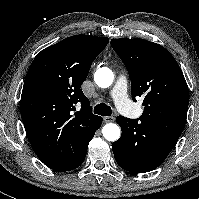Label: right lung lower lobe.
Here are the masks:
<instances>
[{
  "label": "right lung lower lobe",
  "mask_w": 199,
  "mask_h": 199,
  "mask_svg": "<svg viewBox=\"0 0 199 199\" xmlns=\"http://www.w3.org/2000/svg\"><path fill=\"white\" fill-rule=\"evenodd\" d=\"M101 124L102 118L100 117L88 130L79 132L69 141H66L64 144L65 150L60 157L52 158L47 155V144L41 138H38L39 134L34 138V143L30 140V144L36 155L47 167L58 172L73 170L84 162L89 141Z\"/></svg>",
  "instance_id": "obj_1"
}]
</instances>
